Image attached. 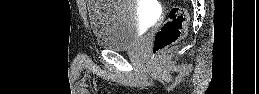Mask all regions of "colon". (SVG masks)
<instances>
[{
  "instance_id": "obj_1",
  "label": "colon",
  "mask_w": 259,
  "mask_h": 94,
  "mask_svg": "<svg viewBox=\"0 0 259 94\" xmlns=\"http://www.w3.org/2000/svg\"><path fill=\"white\" fill-rule=\"evenodd\" d=\"M188 13L184 7L173 6L170 8L167 19L156 31L152 41V60L163 50L167 49L186 34Z\"/></svg>"
}]
</instances>
